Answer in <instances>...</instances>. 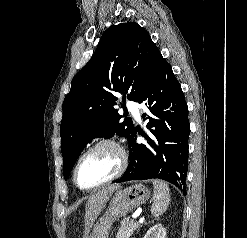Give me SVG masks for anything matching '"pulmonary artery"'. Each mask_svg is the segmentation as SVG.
<instances>
[{
    "mask_svg": "<svg viewBox=\"0 0 247 238\" xmlns=\"http://www.w3.org/2000/svg\"><path fill=\"white\" fill-rule=\"evenodd\" d=\"M127 107L129 109V111L134 115V117L137 120H140V110H139V106L133 102V101H129L127 103Z\"/></svg>",
    "mask_w": 247,
    "mask_h": 238,
    "instance_id": "1",
    "label": "pulmonary artery"
}]
</instances>
